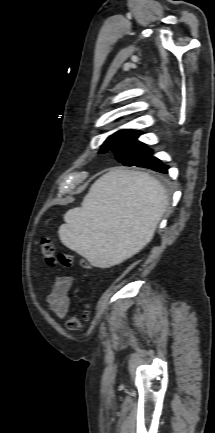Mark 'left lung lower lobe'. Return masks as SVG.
Returning <instances> with one entry per match:
<instances>
[{"instance_id":"left-lung-lower-lobe-1","label":"left lung lower lobe","mask_w":215,"mask_h":433,"mask_svg":"<svg viewBox=\"0 0 215 433\" xmlns=\"http://www.w3.org/2000/svg\"><path fill=\"white\" fill-rule=\"evenodd\" d=\"M130 166L144 167L143 164H136V163H133ZM167 169H168V166L161 164V166L158 167L157 169H155L154 171L161 172V173H167Z\"/></svg>"}]
</instances>
